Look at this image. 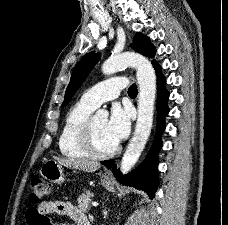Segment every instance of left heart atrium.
Returning a JSON list of instances; mask_svg holds the SVG:
<instances>
[{
  "instance_id": "1",
  "label": "left heart atrium",
  "mask_w": 228,
  "mask_h": 225,
  "mask_svg": "<svg viewBox=\"0 0 228 225\" xmlns=\"http://www.w3.org/2000/svg\"><path fill=\"white\" fill-rule=\"evenodd\" d=\"M130 131V114L128 109L117 105L111 110L109 119L107 120L106 132L108 137L114 142L118 143Z\"/></svg>"
}]
</instances>
